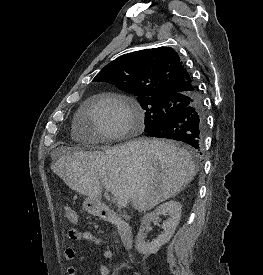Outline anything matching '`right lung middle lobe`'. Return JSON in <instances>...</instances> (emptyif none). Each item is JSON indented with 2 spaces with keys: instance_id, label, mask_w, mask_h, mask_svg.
<instances>
[{
  "instance_id": "right-lung-middle-lobe-1",
  "label": "right lung middle lobe",
  "mask_w": 263,
  "mask_h": 275,
  "mask_svg": "<svg viewBox=\"0 0 263 275\" xmlns=\"http://www.w3.org/2000/svg\"><path fill=\"white\" fill-rule=\"evenodd\" d=\"M137 100L145 111V132L156 128L193 103V97L182 94L138 96Z\"/></svg>"
}]
</instances>
